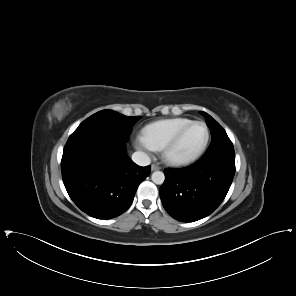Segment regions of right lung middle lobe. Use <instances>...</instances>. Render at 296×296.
I'll return each instance as SVG.
<instances>
[{"label": "right lung middle lobe", "mask_w": 296, "mask_h": 296, "mask_svg": "<svg viewBox=\"0 0 296 296\" xmlns=\"http://www.w3.org/2000/svg\"><path fill=\"white\" fill-rule=\"evenodd\" d=\"M140 118V116H125L112 110H102L84 120L72 135L107 134L128 141L133 126Z\"/></svg>", "instance_id": "obj_1"}]
</instances>
